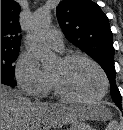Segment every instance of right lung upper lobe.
<instances>
[{
  "label": "right lung upper lobe",
  "instance_id": "right-lung-upper-lobe-1",
  "mask_svg": "<svg viewBox=\"0 0 123 130\" xmlns=\"http://www.w3.org/2000/svg\"><path fill=\"white\" fill-rule=\"evenodd\" d=\"M20 6L13 0H1V49L19 50L21 28Z\"/></svg>",
  "mask_w": 123,
  "mask_h": 130
}]
</instances>
